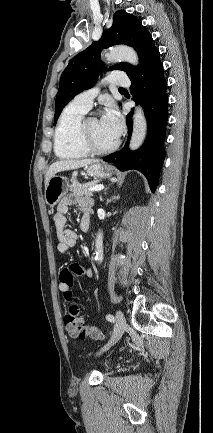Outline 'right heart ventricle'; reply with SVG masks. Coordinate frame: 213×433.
<instances>
[{"label":"right heart ventricle","instance_id":"e07e8e85","mask_svg":"<svg viewBox=\"0 0 213 433\" xmlns=\"http://www.w3.org/2000/svg\"><path fill=\"white\" fill-rule=\"evenodd\" d=\"M87 110L73 102L63 110L54 135V152L61 159H78L89 153L81 146L79 127Z\"/></svg>","mask_w":213,"mask_h":433}]
</instances>
